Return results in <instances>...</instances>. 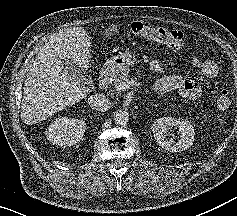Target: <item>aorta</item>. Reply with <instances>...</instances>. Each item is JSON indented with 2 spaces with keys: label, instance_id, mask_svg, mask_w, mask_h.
<instances>
[{
  "label": "aorta",
  "instance_id": "762f6f07",
  "mask_svg": "<svg viewBox=\"0 0 237 216\" xmlns=\"http://www.w3.org/2000/svg\"><path fill=\"white\" fill-rule=\"evenodd\" d=\"M113 119L115 125L124 126L129 121V114L125 110H118L115 112Z\"/></svg>",
  "mask_w": 237,
  "mask_h": 216
}]
</instances>
